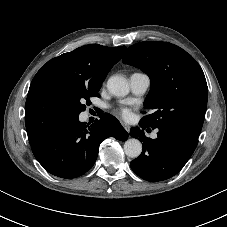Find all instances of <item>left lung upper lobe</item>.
Returning <instances> with one entry per match:
<instances>
[{"instance_id": "5c2ea615", "label": "left lung upper lobe", "mask_w": 227, "mask_h": 227, "mask_svg": "<svg viewBox=\"0 0 227 227\" xmlns=\"http://www.w3.org/2000/svg\"><path fill=\"white\" fill-rule=\"evenodd\" d=\"M122 61L140 68L151 80L141 122L152 129L170 126L198 137L207 107L208 88L196 60L167 42L145 41L130 46Z\"/></svg>"}]
</instances>
